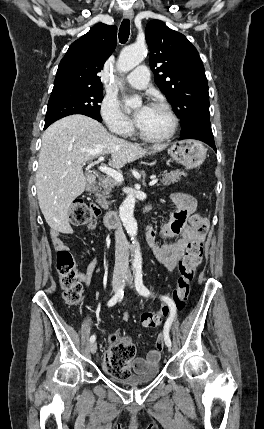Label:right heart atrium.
<instances>
[{"label":"right heart atrium","instance_id":"d8ad5b80","mask_svg":"<svg viewBox=\"0 0 264 429\" xmlns=\"http://www.w3.org/2000/svg\"><path fill=\"white\" fill-rule=\"evenodd\" d=\"M100 115L107 128L119 136H127L133 130L132 121L121 111L118 102L105 97L100 106Z\"/></svg>","mask_w":264,"mask_h":429}]
</instances>
